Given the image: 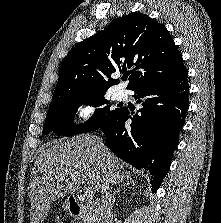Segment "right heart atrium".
Returning <instances> with one entry per match:
<instances>
[{"label":"right heart atrium","instance_id":"right-heart-atrium-1","mask_svg":"<svg viewBox=\"0 0 221 223\" xmlns=\"http://www.w3.org/2000/svg\"><path fill=\"white\" fill-rule=\"evenodd\" d=\"M95 112L94 105L89 101H82L74 109L75 118L82 123L88 122Z\"/></svg>","mask_w":221,"mask_h":223}]
</instances>
